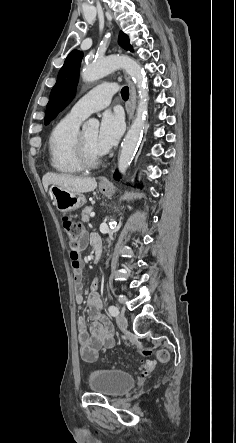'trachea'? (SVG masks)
I'll return each instance as SVG.
<instances>
[{
    "instance_id": "3493384b",
    "label": "trachea",
    "mask_w": 236,
    "mask_h": 443,
    "mask_svg": "<svg viewBox=\"0 0 236 443\" xmlns=\"http://www.w3.org/2000/svg\"><path fill=\"white\" fill-rule=\"evenodd\" d=\"M121 95H122V98L124 100H127L129 98V89H128V87H123L122 88Z\"/></svg>"
}]
</instances>
